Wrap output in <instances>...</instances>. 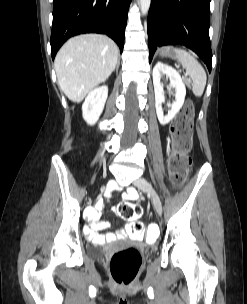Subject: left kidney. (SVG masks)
I'll use <instances>...</instances> for the list:
<instances>
[{"label":"left kidney","instance_id":"1","mask_svg":"<svg viewBox=\"0 0 247 304\" xmlns=\"http://www.w3.org/2000/svg\"><path fill=\"white\" fill-rule=\"evenodd\" d=\"M162 74H165L169 78L170 87L175 88L176 91L175 101L171 104V109L165 116L162 110V103L164 102L163 85L160 81ZM153 85L157 117L160 124L165 125L174 118L182 107L186 96V88L179 73L172 67L162 62H157L153 68Z\"/></svg>","mask_w":247,"mask_h":304}]
</instances>
